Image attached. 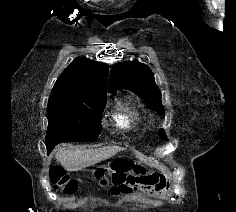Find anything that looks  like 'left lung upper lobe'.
Returning a JSON list of instances; mask_svg holds the SVG:
<instances>
[{
    "label": "left lung upper lobe",
    "instance_id": "obj_1",
    "mask_svg": "<svg viewBox=\"0 0 236 212\" xmlns=\"http://www.w3.org/2000/svg\"><path fill=\"white\" fill-rule=\"evenodd\" d=\"M110 92L127 89L138 95L145 104L153 111L164 114L161 103V92L154 81V75L150 68L139 61L117 63L110 73ZM159 136L166 139L163 130Z\"/></svg>",
    "mask_w": 236,
    "mask_h": 212
}]
</instances>
